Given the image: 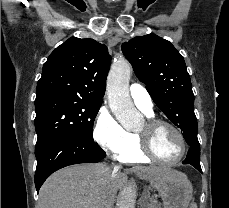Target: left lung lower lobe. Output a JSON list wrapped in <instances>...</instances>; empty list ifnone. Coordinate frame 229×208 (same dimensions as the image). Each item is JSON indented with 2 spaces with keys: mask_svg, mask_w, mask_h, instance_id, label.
I'll return each instance as SVG.
<instances>
[{
  "mask_svg": "<svg viewBox=\"0 0 229 208\" xmlns=\"http://www.w3.org/2000/svg\"><path fill=\"white\" fill-rule=\"evenodd\" d=\"M197 132L189 131V132L182 133L187 144L190 146L187 157L182 163L190 164L194 166L199 172L202 173L201 166H200V145L197 138Z\"/></svg>",
  "mask_w": 229,
  "mask_h": 208,
  "instance_id": "obj_1",
  "label": "left lung lower lobe"
}]
</instances>
